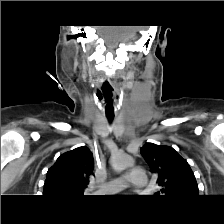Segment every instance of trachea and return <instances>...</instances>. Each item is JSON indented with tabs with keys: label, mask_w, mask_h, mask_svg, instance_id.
I'll return each instance as SVG.
<instances>
[{
	"label": "trachea",
	"mask_w": 224,
	"mask_h": 224,
	"mask_svg": "<svg viewBox=\"0 0 224 224\" xmlns=\"http://www.w3.org/2000/svg\"><path fill=\"white\" fill-rule=\"evenodd\" d=\"M113 118H114L113 116H107V119H108L109 122H112Z\"/></svg>",
	"instance_id": "3493384b"
}]
</instances>
